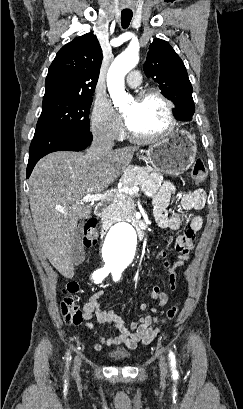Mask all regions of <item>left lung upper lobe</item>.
Wrapping results in <instances>:
<instances>
[{
	"instance_id": "obj_1",
	"label": "left lung upper lobe",
	"mask_w": 243,
	"mask_h": 409,
	"mask_svg": "<svg viewBox=\"0 0 243 409\" xmlns=\"http://www.w3.org/2000/svg\"><path fill=\"white\" fill-rule=\"evenodd\" d=\"M143 68L146 76L158 82L162 93L174 102L176 117L190 121L195 112L192 85L183 61L171 45L155 38L150 44Z\"/></svg>"
}]
</instances>
